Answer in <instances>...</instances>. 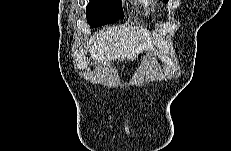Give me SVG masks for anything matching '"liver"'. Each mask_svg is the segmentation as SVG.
Masks as SVG:
<instances>
[{
    "instance_id": "1",
    "label": "liver",
    "mask_w": 231,
    "mask_h": 151,
    "mask_svg": "<svg viewBox=\"0 0 231 151\" xmlns=\"http://www.w3.org/2000/svg\"><path fill=\"white\" fill-rule=\"evenodd\" d=\"M144 50L152 51L150 33L142 27H109L100 31L93 40L91 59L95 61H114L136 59Z\"/></svg>"
}]
</instances>
